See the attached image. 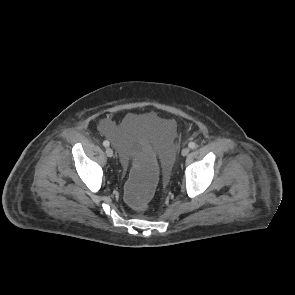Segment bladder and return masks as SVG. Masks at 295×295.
I'll return each mask as SVG.
<instances>
[{"label": "bladder", "mask_w": 295, "mask_h": 295, "mask_svg": "<svg viewBox=\"0 0 295 295\" xmlns=\"http://www.w3.org/2000/svg\"><path fill=\"white\" fill-rule=\"evenodd\" d=\"M102 129L118 144L117 160L122 169L131 166V151L135 144L148 141L155 145L158 151L161 169L165 176L174 174V157L170 140L174 134V122L155 113L129 114L119 125L108 128V122L102 124Z\"/></svg>", "instance_id": "1"}]
</instances>
